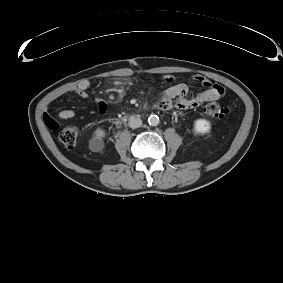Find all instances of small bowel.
<instances>
[{"mask_svg": "<svg viewBox=\"0 0 283 283\" xmlns=\"http://www.w3.org/2000/svg\"><path fill=\"white\" fill-rule=\"evenodd\" d=\"M161 81L168 86L161 94L158 102V105H161L162 109H170L173 106L183 110L193 109L207 102L221 99L226 93L222 86L213 84L208 78L201 75L192 77V81L199 83L204 89L193 95L189 94L187 84H174L175 78L172 75L162 76ZM90 86L91 83L89 80H82L75 87L74 92L81 98H86L87 90ZM98 108L100 112H105L106 103L103 101L99 102ZM58 117L62 120H69L75 117V112L72 109H63L58 113ZM44 122L51 129H55L58 126L55 119L48 114L44 115Z\"/></svg>", "mask_w": 283, "mask_h": 283, "instance_id": "small-bowel-1", "label": "small bowel"}]
</instances>
